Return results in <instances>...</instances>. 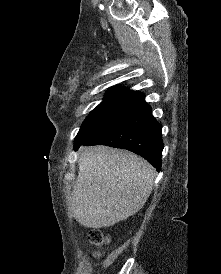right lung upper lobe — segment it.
Masks as SVG:
<instances>
[{
    "mask_svg": "<svg viewBox=\"0 0 221 274\" xmlns=\"http://www.w3.org/2000/svg\"><path fill=\"white\" fill-rule=\"evenodd\" d=\"M141 97H143V94L141 93L126 90L120 86H115L107 91L104 99L129 100L134 102Z\"/></svg>",
    "mask_w": 221,
    "mask_h": 274,
    "instance_id": "obj_1",
    "label": "right lung upper lobe"
}]
</instances>
